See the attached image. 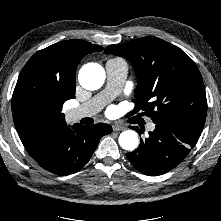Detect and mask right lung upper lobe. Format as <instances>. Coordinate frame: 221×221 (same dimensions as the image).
Segmentation results:
<instances>
[{
    "instance_id": "right-lung-upper-lobe-1",
    "label": "right lung upper lobe",
    "mask_w": 221,
    "mask_h": 221,
    "mask_svg": "<svg viewBox=\"0 0 221 221\" xmlns=\"http://www.w3.org/2000/svg\"><path fill=\"white\" fill-rule=\"evenodd\" d=\"M103 48L83 40H66L36 52L26 63L19 80L33 77L59 86L67 95L75 97L76 67L81 59ZM13 120L24 146L31 145L37 137L52 134L68 127L64 114L30 116L22 113L12 103Z\"/></svg>"
}]
</instances>
